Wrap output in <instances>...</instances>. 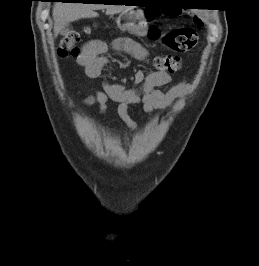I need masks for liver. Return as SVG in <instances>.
I'll use <instances>...</instances> for the list:
<instances>
[{"label":"liver","instance_id":"obj_1","mask_svg":"<svg viewBox=\"0 0 259 266\" xmlns=\"http://www.w3.org/2000/svg\"><path fill=\"white\" fill-rule=\"evenodd\" d=\"M104 8L103 4L56 3L53 7L54 35L57 36L69 23L83 18H94L96 10ZM129 7L107 5V14L129 10Z\"/></svg>","mask_w":259,"mask_h":266}]
</instances>
